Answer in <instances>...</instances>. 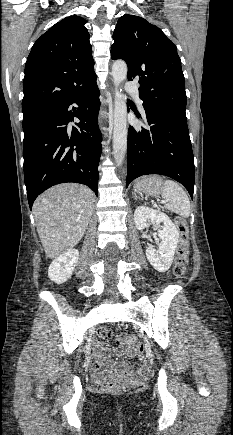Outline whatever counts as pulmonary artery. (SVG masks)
<instances>
[{"mask_svg":"<svg viewBox=\"0 0 233 435\" xmlns=\"http://www.w3.org/2000/svg\"><path fill=\"white\" fill-rule=\"evenodd\" d=\"M126 91L129 95H131L133 98L136 99L137 103L139 104L141 110H143L142 107V101L140 99V92L137 86L133 85L130 81H127L126 84Z\"/></svg>","mask_w":233,"mask_h":435,"instance_id":"1","label":"pulmonary artery"}]
</instances>
